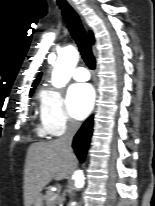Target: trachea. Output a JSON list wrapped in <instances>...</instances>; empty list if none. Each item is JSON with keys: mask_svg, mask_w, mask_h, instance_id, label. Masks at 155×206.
Listing matches in <instances>:
<instances>
[{"mask_svg": "<svg viewBox=\"0 0 155 206\" xmlns=\"http://www.w3.org/2000/svg\"><path fill=\"white\" fill-rule=\"evenodd\" d=\"M67 27L78 45L80 54L90 69L95 68V58L92 53L89 38L82 26L81 20L74 9L66 1H58Z\"/></svg>", "mask_w": 155, "mask_h": 206, "instance_id": "trachea-1", "label": "trachea"}]
</instances>
